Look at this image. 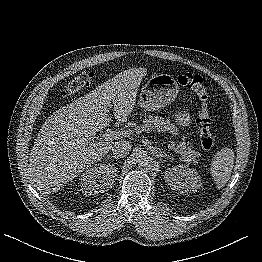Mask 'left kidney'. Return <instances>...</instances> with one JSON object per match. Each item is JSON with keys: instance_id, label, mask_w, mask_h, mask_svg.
I'll return each instance as SVG.
<instances>
[{"instance_id": "1", "label": "left kidney", "mask_w": 262, "mask_h": 262, "mask_svg": "<svg viewBox=\"0 0 262 262\" xmlns=\"http://www.w3.org/2000/svg\"><path fill=\"white\" fill-rule=\"evenodd\" d=\"M165 181L179 193H194L201 189L202 182L198 172L188 168L186 165H179L169 168L164 174Z\"/></svg>"}]
</instances>
